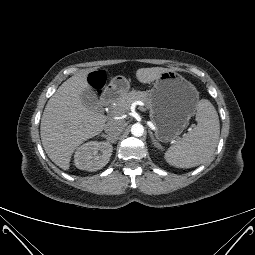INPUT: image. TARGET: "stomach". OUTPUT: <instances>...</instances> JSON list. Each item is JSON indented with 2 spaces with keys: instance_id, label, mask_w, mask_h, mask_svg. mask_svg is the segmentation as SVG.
Returning <instances> with one entry per match:
<instances>
[{
  "instance_id": "0dacf381",
  "label": "stomach",
  "mask_w": 255,
  "mask_h": 255,
  "mask_svg": "<svg viewBox=\"0 0 255 255\" xmlns=\"http://www.w3.org/2000/svg\"><path fill=\"white\" fill-rule=\"evenodd\" d=\"M128 89L129 82L123 76L114 77L106 87L120 96ZM147 96L156 138L161 142L177 139L197 109L199 93L195 86L178 72L168 70L154 81Z\"/></svg>"
}]
</instances>
